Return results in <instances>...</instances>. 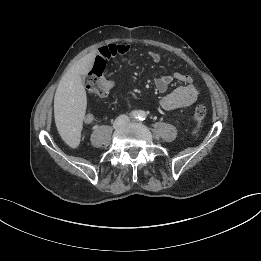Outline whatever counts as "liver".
Listing matches in <instances>:
<instances>
[{"mask_svg":"<svg viewBox=\"0 0 261 261\" xmlns=\"http://www.w3.org/2000/svg\"><path fill=\"white\" fill-rule=\"evenodd\" d=\"M95 54L89 53L73 64L63 75L54 97V116L62 137L71 136L81 129L87 98L81 75L93 67Z\"/></svg>","mask_w":261,"mask_h":261,"instance_id":"1","label":"liver"}]
</instances>
